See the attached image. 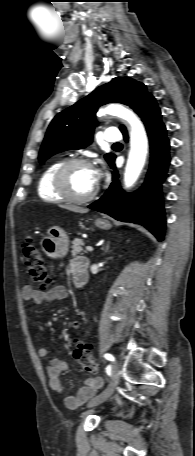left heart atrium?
Listing matches in <instances>:
<instances>
[{
  "mask_svg": "<svg viewBox=\"0 0 195 456\" xmlns=\"http://www.w3.org/2000/svg\"><path fill=\"white\" fill-rule=\"evenodd\" d=\"M93 172H94L95 181L97 183L100 178V172L96 169H93Z\"/></svg>",
  "mask_w": 195,
  "mask_h": 456,
  "instance_id": "obj_1",
  "label": "left heart atrium"
}]
</instances>
